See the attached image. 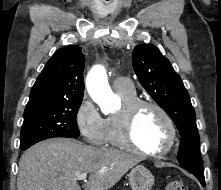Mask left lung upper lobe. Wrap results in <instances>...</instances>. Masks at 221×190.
Masks as SVG:
<instances>
[{"label": "left lung upper lobe", "mask_w": 221, "mask_h": 190, "mask_svg": "<svg viewBox=\"0 0 221 190\" xmlns=\"http://www.w3.org/2000/svg\"><path fill=\"white\" fill-rule=\"evenodd\" d=\"M140 84L172 118L181 134L178 162L188 171L204 175L196 114L180 76L169 60L151 44H139L132 53Z\"/></svg>", "instance_id": "obj_1"}]
</instances>
